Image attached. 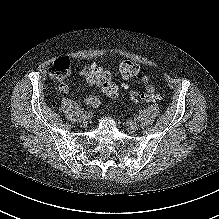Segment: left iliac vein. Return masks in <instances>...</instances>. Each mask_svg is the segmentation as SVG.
Returning <instances> with one entry per match:
<instances>
[{
    "instance_id": "4c4485c4",
    "label": "left iliac vein",
    "mask_w": 219,
    "mask_h": 219,
    "mask_svg": "<svg viewBox=\"0 0 219 219\" xmlns=\"http://www.w3.org/2000/svg\"><path fill=\"white\" fill-rule=\"evenodd\" d=\"M127 125L130 132H134L139 128L138 123L134 121H129Z\"/></svg>"
}]
</instances>
